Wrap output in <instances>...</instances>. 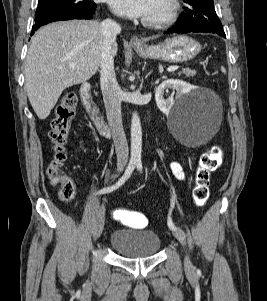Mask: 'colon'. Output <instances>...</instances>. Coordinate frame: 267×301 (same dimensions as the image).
<instances>
[{"instance_id": "colon-1", "label": "colon", "mask_w": 267, "mask_h": 301, "mask_svg": "<svg viewBox=\"0 0 267 301\" xmlns=\"http://www.w3.org/2000/svg\"><path fill=\"white\" fill-rule=\"evenodd\" d=\"M78 98L73 92L66 93L56 109V115L51 123L49 139L52 144L53 158L48 166L47 175L53 185L59 188L60 198L69 202L74 198L75 186L72 180L61 172L66 160L65 146L68 140L72 119L76 113ZM222 150L215 146L204 153L198 163L192 197L196 205L204 206L210 196V175L223 163ZM111 217L123 224L142 227L146 218L141 213L125 208L113 207Z\"/></svg>"}]
</instances>
